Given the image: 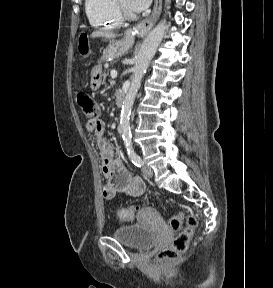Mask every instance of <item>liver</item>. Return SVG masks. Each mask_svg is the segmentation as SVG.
Masks as SVG:
<instances>
[{
	"label": "liver",
	"mask_w": 273,
	"mask_h": 288,
	"mask_svg": "<svg viewBox=\"0 0 273 288\" xmlns=\"http://www.w3.org/2000/svg\"><path fill=\"white\" fill-rule=\"evenodd\" d=\"M118 35L110 32V31H104V30H98V31H94L91 33L90 37L92 38H96V37H102V38H116Z\"/></svg>",
	"instance_id": "liver-1"
}]
</instances>
